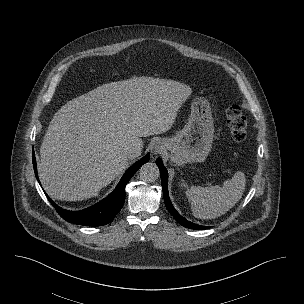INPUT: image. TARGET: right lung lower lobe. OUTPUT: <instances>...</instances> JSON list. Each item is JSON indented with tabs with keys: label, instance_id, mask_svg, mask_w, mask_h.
<instances>
[{
	"label": "right lung lower lobe",
	"instance_id": "right-lung-lower-lobe-1",
	"mask_svg": "<svg viewBox=\"0 0 304 304\" xmlns=\"http://www.w3.org/2000/svg\"><path fill=\"white\" fill-rule=\"evenodd\" d=\"M33 167L36 178L39 182L37 175V167L34 151L32 152ZM149 154L141 160L133 164L123 175L115 190L108 195L105 199L97 204L80 211H68L57 206L49 197L48 200L54 206L58 214L70 223L85 226H101L112 222L114 217L118 214L125 202V187L135 172L146 162L149 161Z\"/></svg>",
	"mask_w": 304,
	"mask_h": 304
}]
</instances>
